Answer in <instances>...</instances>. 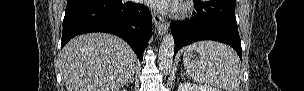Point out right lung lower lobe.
Returning a JSON list of instances; mask_svg holds the SVG:
<instances>
[{
    "label": "right lung lower lobe",
    "mask_w": 304,
    "mask_h": 91,
    "mask_svg": "<svg viewBox=\"0 0 304 91\" xmlns=\"http://www.w3.org/2000/svg\"><path fill=\"white\" fill-rule=\"evenodd\" d=\"M107 32L125 40L143 59V52L152 36L149 9L122 0H68L63 20V47L76 35Z\"/></svg>",
    "instance_id": "obj_1"
}]
</instances>
